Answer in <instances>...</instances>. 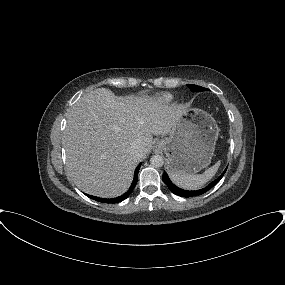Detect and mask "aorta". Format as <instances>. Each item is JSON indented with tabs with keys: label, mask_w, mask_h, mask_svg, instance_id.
<instances>
[{
	"label": "aorta",
	"mask_w": 285,
	"mask_h": 285,
	"mask_svg": "<svg viewBox=\"0 0 285 285\" xmlns=\"http://www.w3.org/2000/svg\"><path fill=\"white\" fill-rule=\"evenodd\" d=\"M150 163L153 167L159 168L162 167L164 164V159L160 155H153L150 159Z\"/></svg>",
	"instance_id": "1"
}]
</instances>
